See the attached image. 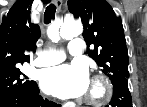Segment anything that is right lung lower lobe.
I'll return each mask as SVG.
<instances>
[{
  "mask_svg": "<svg viewBox=\"0 0 147 107\" xmlns=\"http://www.w3.org/2000/svg\"><path fill=\"white\" fill-rule=\"evenodd\" d=\"M56 103L44 100L39 95V88L34 91L17 94L0 102V107H58Z\"/></svg>",
  "mask_w": 147,
  "mask_h": 107,
  "instance_id": "obj_1",
  "label": "right lung lower lobe"
}]
</instances>
